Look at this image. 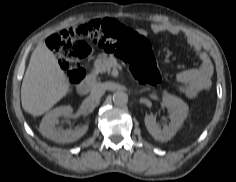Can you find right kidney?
Here are the masks:
<instances>
[{
  "mask_svg": "<svg viewBox=\"0 0 236 182\" xmlns=\"http://www.w3.org/2000/svg\"><path fill=\"white\" fill-rule=\"evenodd\" d=\"M73 112L71 106H60L48 112L42 119L39 127L40 133L57 143H71L80 139L88 130V125H83L75 130L61 129L58 127L60 116H69Z\"/></svg>",
  "mask_w": 236,
  "mask_h": 182,
  "instance_id": "1",
  "label": "right kidney"
}]
</instances>
